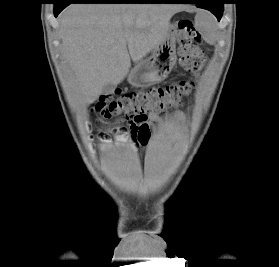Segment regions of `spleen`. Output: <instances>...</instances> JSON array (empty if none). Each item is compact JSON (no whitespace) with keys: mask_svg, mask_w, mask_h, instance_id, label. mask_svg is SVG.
I'll return each mask as SVG.
<instances>
[{"mask_svg":"<svg viewBox=\"0 0 279 267\" xmlns=\"http://www.w3.org/2000/svg\"><path fill=\"white\" fill-rule=\"evenodd\" d=\"M196 25L204 34L206 39L213 41L215 39V25L213 19L208 14H200L197 16Z\"/></svg>","mask_w":279,"mask_h":267,"instance_id":"spleen-1","label":"spleen"}]
</instances>
